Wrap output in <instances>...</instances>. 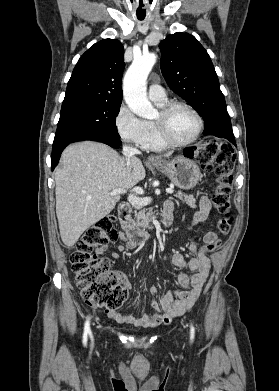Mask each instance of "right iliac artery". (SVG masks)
I'll use <instances>...</instances> for the list:
<instances>
[{
	"label": "right iliac artery",
	"mask_w": 279,
	"mask_h": 391,
	"mask_svg": "<svg viewBox=\"0 0 279 391\" xmlns=\"http://www.w3.org/2000/svg\"><path fill=\"white\" fill-rule=\"evenodd\" d=\"M90 335L91 336V330H90V324H89V320H87L85 322V326H84V335H83V343L84 345L87 344V336Z\"/></svg>",
	"instance_id": "obj_1"
}]
</instances>
